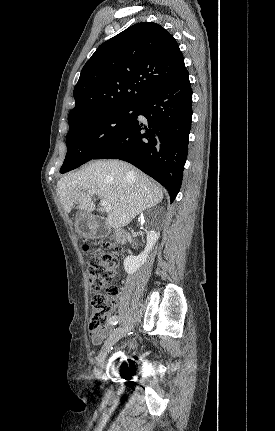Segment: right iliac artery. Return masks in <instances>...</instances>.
Segmentation results:
<instances>
[{
    "label": "right iliac artery",
    "mask_w": 275,
    "mask_h": 431,
    "mask_svg": "<svg viewBox=\"0 0 275 431\" xmlns=\"http://www.w3.org/2000/svg\"><path fill=\"white\" fill-rule=\"evenodd\" d=\"M109 324L110 325H117L118 324V317L117 316H112L110 319H109ZM117 329H114V331H116ZM113 331V332H114Z\"/></svg>",
    "instance_id": "obj_1"
}]
</instances>
